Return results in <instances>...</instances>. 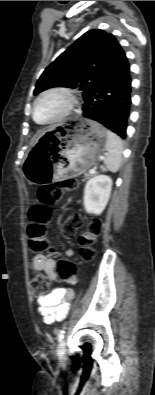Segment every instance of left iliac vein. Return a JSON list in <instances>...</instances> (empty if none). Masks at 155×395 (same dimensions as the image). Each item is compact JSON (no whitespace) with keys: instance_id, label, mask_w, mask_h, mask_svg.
Segmentation results:
<instances>
[{"instance_id":"1","label":"left iliac vein","mask_w":155,"mask_h":395,"mask_svg":"<svg viewBox=\"0 0 155 395\" xmlns=\"http://www.w3.org/2000/svg\"><path fill=\"white\" fill-rule=\"evenodd\" d=\"M57 356L60 361L65 359V340H61L57 348Z\"/></svg>"}]
</instances>
